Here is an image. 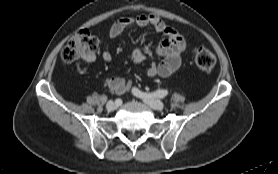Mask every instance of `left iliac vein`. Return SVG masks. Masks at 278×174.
Masks as SVG:
<instances>
[{"instance_id": "obj_1", "label": "left iliac vein", "mask_w": 278, "mask_h": 174, "mask_svg": "<svg viewBox=\"0 0 278 174\" xmlns=\"http://www.w3.org/2000/svg\"><path fill=\"white\" fill-rule=\"evenodd\" d=\"M142 100L154 110H162L164 108V103L160 100L152 98H142Z\"/></svg>"}]
</instances>
